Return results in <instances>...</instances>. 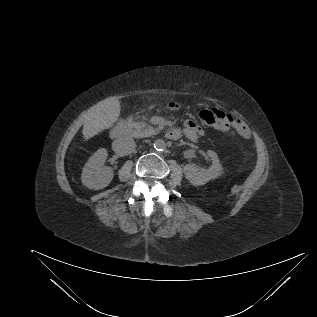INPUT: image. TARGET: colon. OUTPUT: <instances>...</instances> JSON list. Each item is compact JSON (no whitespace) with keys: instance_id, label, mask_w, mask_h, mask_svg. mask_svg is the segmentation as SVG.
I'll return each mask as SVG.
<instances>
[{"instance_id":"colon-1","label":"colon","mask_w":317,"mask_h":317,"mask_svg":"<svg viewBox=\"0 0 317 317\" xmlns=\"http://www.w3.org/2000/svg\"><path fill=\"white\" fill-rule=\"evenodd\" d=\"M201 121L209 126L220 125L222 113L216 109H204L199 113Z\"/></svg>"}]
</instances>
